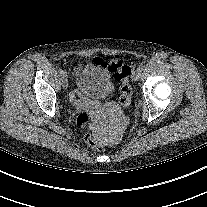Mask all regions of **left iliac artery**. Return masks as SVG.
<instances>
[{
    "mask_svg": "<svg viewBox=\"0 0 207 207\" xmlns=\"http://www.w3.org/2000/svg\"><path fill=\"white\" fill-rule=\"evenodd\" d=\"M144 67H145V65H144L143 63H141V64L139 65V68H138V69L142 71V70L144 69Z\"/></svg>",
    "mask_w": 207,
    "mask_h": 207,
    "instance_id": "left-iliac-artery-1",
    "label": "left iliac artery"
}]
</instances>
